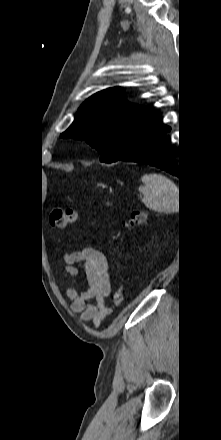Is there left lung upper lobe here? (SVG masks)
Masks as SVG:
<instances>
[{"mask_svg": "<svg viewBox=\"0 0 221 440\" xmlns=\"http://www.w3.org/2000/svg\"><path fill=\"white\" fill-rule=\"evenodd\" d=\"M149 111L125 101L121 87L108 88L82 104L61 137L85 140L99 151L101 162H115L124 154L133 130Z\"/></svg>", "mask_w": 221, "mask_h": 440, "instance_id": "obj_1", "label": "left lung upper lobe"}]
</instances>
